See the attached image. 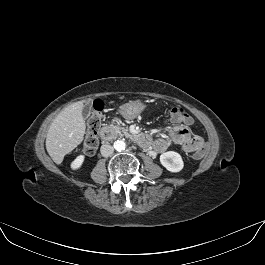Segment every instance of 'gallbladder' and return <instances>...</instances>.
<instances>
[{
    "label": "gallbladder",
    "instance_id": "obj_1",
    "mask_svg": "<svg viewBox=\"0 0 265 265\" xmlns=\"http://www.w3.org/2000/svg\"><path fill=\"white\" fill-rule=\"evenodd\" d=\"M91 114V107L89 104H85L82 110V116L84 119H88Z\"/></svg>",
    "mask_w": 265,
    "mask_h": 265
}]
</instances>
